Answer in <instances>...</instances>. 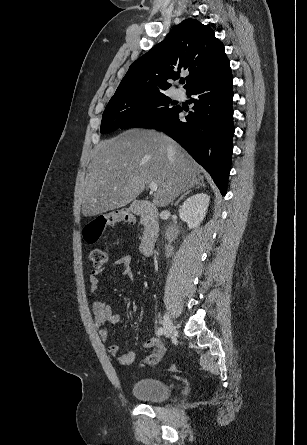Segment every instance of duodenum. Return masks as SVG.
<instances>
[{
    "instance_id": "obj_1",
    "label": "duodenum",
    "mask_w": 307,
    "mask_h": 445,
    "mask_svg": "<svg viewBox=\"0 0 307 445\" xmlns=\"http://www.w3.org/2000/svg\"><path fill=\"white\" fill-rule=\"evenodd\" d=\"M131 210L144 221V231L140 241L139 250L143 255H149L159 235V214L156 207L144 200L135 201Z\"/></svg>"
}]
</instances>
